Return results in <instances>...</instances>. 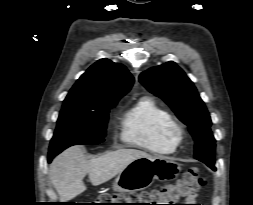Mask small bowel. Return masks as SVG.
Instances as JSON below:
<instances>
[{"label": "small bowel", "mask_w": 253, "mask_h": 205, "mask_svg": "<svg viewBox=\"0 0 253 205\" xmlns=\"http://www.w3.org/2000/svg\"><path fill=\"white\" fill-rule=\"evenodd\" d=\"M196 199H197V196L193 195V196H191V197L188 198V202L189 203H195ZM189 205H199V204H189Z\"/></svg>", "instance_id": "small-bowel-1"}]
</instances>
